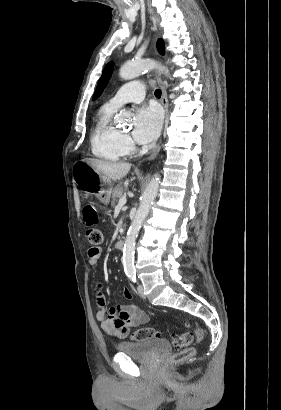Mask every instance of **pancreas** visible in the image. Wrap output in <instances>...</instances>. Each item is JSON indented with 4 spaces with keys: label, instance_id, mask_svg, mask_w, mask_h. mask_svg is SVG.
<instances>
[{
    "label": "pancreas",
    "instance_id": "cf45deb5",
    "mask_svg": "<svg viewBox=\"0 0 281 410\" xmlns=\"http://www.w3.org/2000/svg\"><path fill=\"white\" fill-rule=\"evenodd\" d=\"M124 185L121 183L119 185H117L111 192V197H112V201L111 204L112 206H115L116 203L118 202V199H120L123 194H124Z\"/></svg>",
    "mask_w": 281,
    "mask_h": 410
}]
</instances>
